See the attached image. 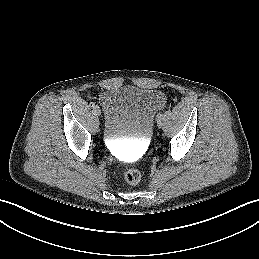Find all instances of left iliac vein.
Returning a JSON list of instances; mask_svg holds the SVG:
<instances>
[{"label": "left iliac vein", "mask_w": 259, "mask_h": 259, "mask_svg": "<svg viewBox=\"0 0 259 259\" xmlns=\"http://www.w3.org/2000/svg\"><path fill=\"white\" fill-rule=\"evenodd\" d=\"M157 124H158L159 127H161V126H162V121H161V120H158V121H157Z\"/></svg>", "instance_id": "1"}]
</instances>
